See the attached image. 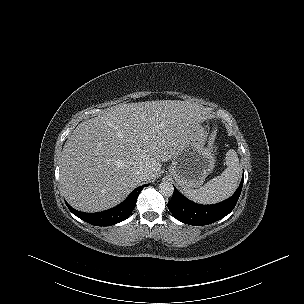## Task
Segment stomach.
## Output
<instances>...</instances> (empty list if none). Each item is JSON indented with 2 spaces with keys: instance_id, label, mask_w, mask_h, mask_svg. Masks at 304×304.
Returning <instances> with one entry per match:
<instances>
[{
  "instance_id": "obj_1",
  "label": "stomach",
  "mask_w": 304,
  "mask_h": 304,
  "mask_svg": "<svg viewBox=\"0 0 304 304\" xmlns=\"http://www.w3.org/2000/svg\"><path fill=\"white\" fill-rule=\"evenodd\" d=\"M208 137V127L196 125L185 146L173 157L169 172L183 189L199 188L214 169L211 148L205 147Z\"/></svg>"
}]
</instances>
